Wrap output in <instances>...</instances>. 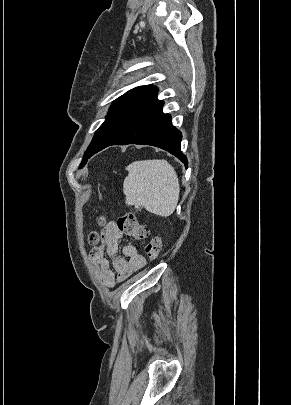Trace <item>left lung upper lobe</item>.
Segmentation results:
<instances>
[{
  "label": "left lung upper lobe",
  "mask_w": 291,
  "mask_h": 405,
  "mask_svg": "<svg viewBox=\"0 0 291 405\" xmlns=\"http://www.w3.org/2000/svg\"><path fill=\"white\" fill-rule=\"evenodd\" d=\"M152 87V85H145L133 88L112 103L106 120L96 131L83 156L80 168L86 164L88 158L109 146L124 132L139 103Z\"/></svg>",
  "instance_id": "5c2ea615"
}]
</instances>
